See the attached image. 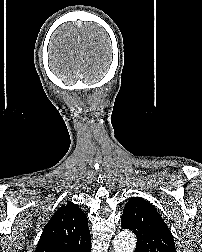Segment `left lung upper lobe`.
Instances as JSON below:
<instances>
[{
	"instance_id": "left-lung-upper-lobe-1",
	"label": "left lung upper lobe",
	"mask_w": 202,
	"mask_h": 252,
	"mask_svg": "<svg viewBox=\"0 0 202 252\" xmlns=\"http://www.w3.org/2000/svg\"><path fill=\"white\" fill-rule=\"evenodd\" d=\"M121 227L137 236L135 252H176L168 226L156 209L141 198H131L125 205Z\"/></svg>"
}]
</instances>
